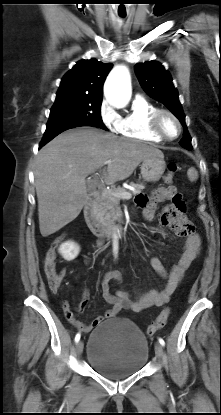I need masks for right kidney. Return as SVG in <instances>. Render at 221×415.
Returning a JSON list of instances; mask_svg holds the SVG:
<instances>
[{"mask_svg": "<svg viewBox=\"0 0 221 415\" xmlns=\"http://www.w3.org/2000/svg\"><path fill=\"white\" fill-rule=\"evenodd\" d=\"M80 252V247L73 241H67L63 243L59 248V253L67 261L74 260Z\"/></svg>", "mask_w": 221, "mask_h": 415, "instance_id": "1", "label": "right kidney"}]
</instances>
